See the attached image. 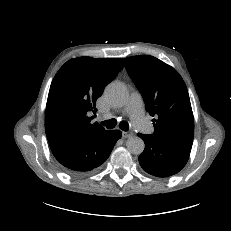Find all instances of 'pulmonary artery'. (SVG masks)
<instances>
[{"mask_svg": "<svg viewBox=\"0 0 231 231\" xmlns=\"http://www.w3.org/2000/svg\"><path fill=\"white\" fill-rule=\"evenodd\" d=\"M124 113L129 115L133 125L143 133H153V126L147 121L144 115V107L141 95L133 92L124 108Z\"/></svg>", "mask_w": 231, "mask_h": 231, "instance_id": "pulmonary-artery-1", "label": "pulmonary artery"}]
</instances>
